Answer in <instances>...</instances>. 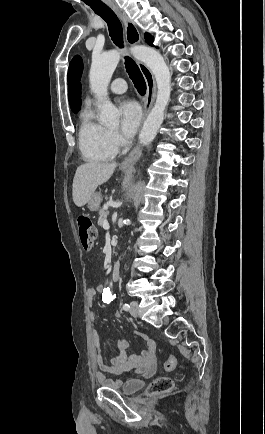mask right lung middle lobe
I'll return each mask as SVG.
<instances>
[{
  "label": "right lung middle lobe",
  "instance_id": "1",
  "mask_svg": "<svg viewBox=\"0 0 265 434\" xmlns=\"http://www.w3.org/2000/svg\"><path fill=\"white\" fill-rule=\"evenodd\" d=\"M71 109L74 113H76L80 109V106L71 107Z\"/></svg>",
  "mask_w": 265,
  "mask_h": 434
}]
</instances>
